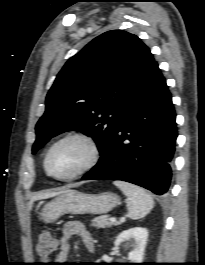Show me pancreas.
<instances>
[{
	"instance_id": "1",
	"label": "pancreas",
	"mask_w": 205,
	"mask_h": 265,
	"mask_svg": "<svg viewBox=\"0 0 205 265\" xmlns=\"http://www.w3.org/2000/svg\"><path fill=\"white\" fill-rule=\"evenodd\" d=\"M92 225L97 228H105V227H110L112 223L109 221V218L107 215H102V216L94 218L92 220Z\"/></svg>"
}]
</instances>
